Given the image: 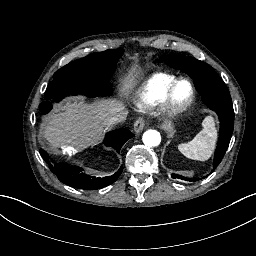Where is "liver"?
<instances>
[{"instance_id": "obj_1", "label": "liver", "mask_w": 256, "mask_h": 256, "mask_svg": "<svg viewBox=\"0 0 256 256\" xmlns=\"http://www.w3.org/2000/svg\"><path fill=\"white\" fill-rule=\"evenodd\" d=\"M121 80L130 86V77L123 76ZM121 110L116 101L99 100L93 105L79 100L66 101L56 106L47 119L44 137L55 146L84 149L99 141L106 119Z\"/></svg>"}]
</instances>
